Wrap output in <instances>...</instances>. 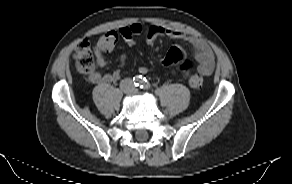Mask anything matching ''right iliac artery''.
<instances>
[{
    "instance_id": "right-iliac-artery-1",
    "label": "right iliac artery",
    "mask_w": 292,
    "mask_h": 184,
    "mask_svg": "<svg viewBox=\"0 0 292 184\" xmlns=\"http://www.w3.org/2000/svg\"><path fill=\"white\" fill-rule=\"evenodd\" d=\"M133 80H134L135 86H140L141 82H142V77L141 76H136V77L133 78Z\"/></svg>"
}]
</instances>
